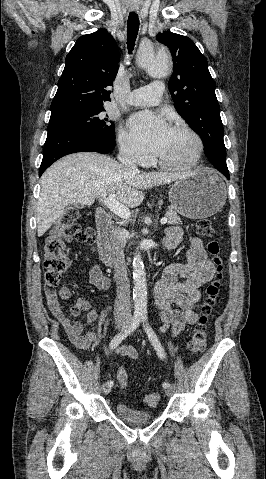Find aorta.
<instances>
[{
    "label": "aorta",
    "instance_id": "1",
    "mask_svg": "<svg viewBox=\"0 0 266 479\" xmlns=\"http://www.w3.org/2000/svg\"><path fill=\"white\" fill-rule=\"evenodd\" d=\"M137 65L149 71L153 76L164 77L170 70V57L164 47L152 46L138 52ZM133 300L136 314L147 313L146 272L141 253L137 250L133 257Z\"/></svg>",
    "mask_w": 266,
    "mask_h": 479
}]
</instances>
